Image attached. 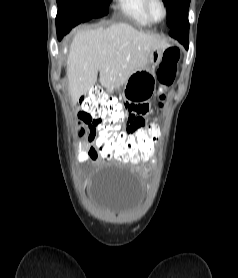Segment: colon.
Wrapping results in <instances>:
<instances>
[{"instance_id":"colon-1","label":"colon","mask_w":238,"mask_h":278,"mask_svg":"<svg viewBox=\"0 0 238 278\" xmlns=\"http://www.w3.org/2000/svg\"><path fill=\"white\" fill-rule=\"evenodd\" d=\"M177 47L168 48L157 71L161 86L170 87L177 74L180 60ZM131 104H123L116 97L110 96L99 88L91 89L79 100L78 119L82 125L96 126L95 145L98 159H116V162H148L157 148L156 137L161 130H135L134 137L122 131ZM147 129H158V124H147ZM84 133L81 129L80 134ZM152 146V148H150Z\"/></svg>"}]
</instances>
